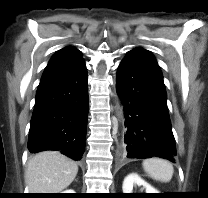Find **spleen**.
Returning <instances> with one entry per match:
<instances>
[{
    "label": "spleen",
    "instance_id": "3e777b00",
    "mask_svg": "<svg viewBox=\"0 0 208 198\" xmlns=\"http://www.w3.org/2000/svg\"><path fill=\"white\" fill-rule=\"evenodd\" d=\"M144 171L154 180L167 183L171 180L173 166L164 159L151 158L142 163Z\"/></svg>",
    "mask_w": 208,
    "mask_h": 198
}]
</instances>
